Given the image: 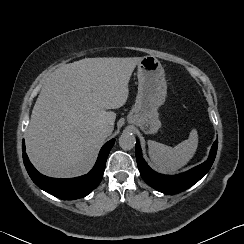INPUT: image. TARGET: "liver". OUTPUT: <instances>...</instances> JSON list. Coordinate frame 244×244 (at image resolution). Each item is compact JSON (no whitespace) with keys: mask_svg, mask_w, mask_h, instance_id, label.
Here are the masks:
<instances>
[{"mask_svg":"<svg viewBox=\"0 0 244 244\" xmlns=\"http://www.w3.org/2000/svg\"><path fill=\"white\" fill-rule=\"evenodd\" d=\"M140 57L85 58L55 70L42 88L26 131L30 161L44 175L70 178L94 165L106 136L123 106L128 83Z\"/></svg>","mask_w":244,"mask_h":244,"instance_id":"6515ba94","label":"liver"}]
</instances>
